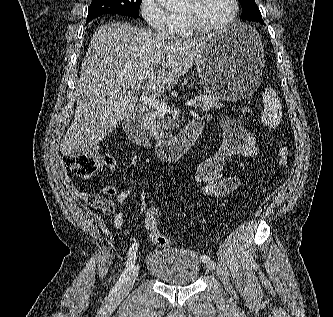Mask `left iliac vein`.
<instances>
[{"label":"left iliac vein","mask_w":333,"mask_h":317,"mask_svg":"<svg viewBox=\"0 0 333 317\" xmlns=\"http://www.w3.org/2000/svg\"><path fill=\"white\" fill-rule=\"evenodd\" d=\"M206 266L209 270H215L216 263L213 260H209L206 262Z\"/></svg>","instance_id":"obj_1"}]
</instances>
